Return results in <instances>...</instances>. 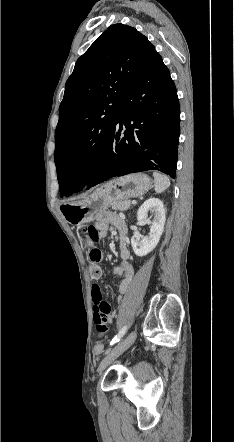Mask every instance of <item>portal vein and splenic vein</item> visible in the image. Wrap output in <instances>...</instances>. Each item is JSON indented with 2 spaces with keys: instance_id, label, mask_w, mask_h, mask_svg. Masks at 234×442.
<instances>
[{
  "instance_id": "portal-vein-and-splenic-vein-1",
  "label": "portal vein and splenic vein",
  "mask_w": 234,
  "mask_h": 442,
  "mask_svg": "<svg viewBox=\"0 0 234 442\" xmlns=\"http://www.w3.org/2000/svg\"><path fill=\"white\" fill-rule=\"evenodd\" d=\"M132 204H136V201H133Z\"/></svg>"
}]
</instances>
